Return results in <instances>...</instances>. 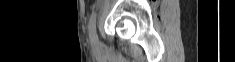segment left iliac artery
Instances as JSON below:
<instances>
[{
	"label": "left iliac artery",
	"mask_w": 235,
	"mask_h": 62,
	"mask_svg": "<svg viewBox=\"0 0 235 62\" xmlns=\"http://www.w3.org/2000/svg\"><path fill=\"white\" fill-rule=\"evenodd\" d=\"M96 17H97V13L93 12L90 16L88 29H89V35H91L95 40H98V37L96 34Z\"/></svg>",
	"instance_id": "obj_1"
}]
</instances>
